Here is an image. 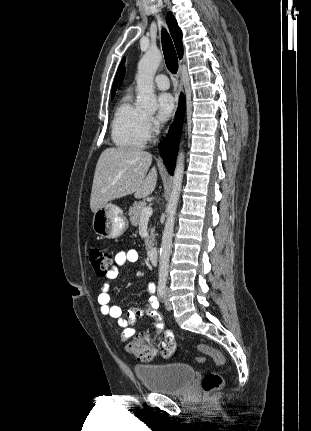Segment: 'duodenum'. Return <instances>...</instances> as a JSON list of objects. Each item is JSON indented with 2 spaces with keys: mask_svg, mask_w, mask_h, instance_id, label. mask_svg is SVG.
<instances>
[{
  "mask_svg": "<svg viewBox=\"0 0 311 431\" xmlns=\"http://www.w3.org/2000/svg\"><path fill=\"white\" fill-rule=\"evenodd\" d=\"M147 257L152 264H156L158 262V250L155 247H151L147 251Z\"/></svg>",
  "mask_w": 311,
  "mask_h": 431,
  "instance_id": "obj_1",
  "label": "duodenum"
}]
</instances>
